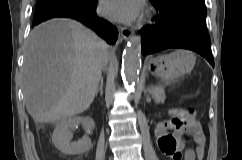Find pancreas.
I'll return each mask as SVG.
<instances>
[{"mask_svg": "<svg viewBox=\"0 0 242 160\" xmlns=\"http://www.w3.org/2000/svg\"><path fill=\"white\" fill-rule=\"evenodd\" d=\"M150 93H151L152 97L158 101H160L164 98V93H163V89L161 88V86L152 87L150 90Z\"/></svg>", "mask_w": 242, "mask_h": 160, "instance_id": "obj_1", "label": "pancreas"}]
</instances>
